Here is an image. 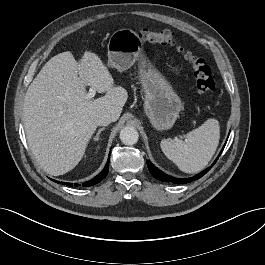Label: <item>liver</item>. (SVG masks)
Segmentation results:
<instances>
[{
	"instance_id": "1",
	"label": "liver",
	"mask_w": 265,
	"mask_h": 265,
	"mask_svg": "<svg viewBox=\"0 0 265 265\" xmlns=\"http://www.w3.org/2000/svg\"><path fill=\"white\" fill-rule=\"evenodd\" d=\"M87 85L106 94L88 99ZM127 97L95 53L86 51L80 63L70 51L52 57L28 87L23 107L27 142L41 168L53 176L71 171L96 131L95 117L107 112L118 120Z\"/></svg>"
}]
</instances>
